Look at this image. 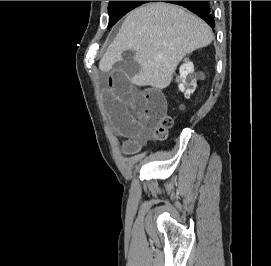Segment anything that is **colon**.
I'll return each mask as SVG.
<instances>
[{"label": "colon", "mask_w": 271, "mask_h": 266, "mask_svg": "<svg viewBox=\"0 0 271 266\" xmlns=\"http://www.w3.org/2000/svg\"><path fill=\"white\" fill-rule=\"evenodd\" d=\"M173 121L169 116H164L155 131V136L158 139H165L167 137L169 129L172 127Z\"/></svg>", "instance_id": "5ec220e1"}]
</instances>
